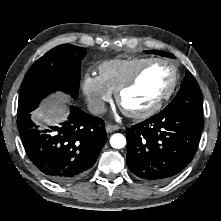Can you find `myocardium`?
<instances>
[{
  "mask_svg": "<svg viewBox=\"0 0 221 221\" xmlns=\"http://www.w3.org/2000/svg\"><path fill=\"white\" fill-rule=\"evenodd\" d=\"M154 63H164L172 69V79L168 88L162 93V95L147 109L142 111H130L122 105V97L124 93L136 84L142 73ZM179 81V70L177 66L170 60L164 58H151L142 64L125 82H123L116 90V103L124 114L130 118L142 120L155 115L164 104L170 99L176 90Z\"/></svg>",
  "mask_w": 221,
  "mask_h": 221,
  "instance_id": "obj_1",
  "label": "myocardium"
}]
</instances>
